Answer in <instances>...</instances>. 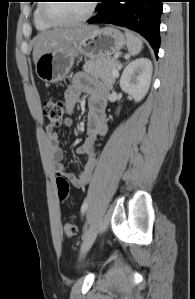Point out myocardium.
I'll use <instances>...</instances> for the list:
<instances>
[{
  "instance_id": "myocardium-1",
  "label": "myocardium",
  "mask_w": 195,
  "mask_h": 299,
  "mask_svg": "<svg viewBox=\"0 0 195 299\" xmlns=\"http://www.w3.org/2000/svg\"><path fill=\"white\" fill-rule=\"evenodd\" d=\"M50 3H42L41 6V16L42 18L49 24H51L52 26H70V25H75V24H79V23H83L88 21L95 13L96 8H97V3L95 2V0H90V5H89V9L87 10L86 14H84L81 17L75 18V19H71V20H57L55 18H53L49 13H48V6Z\"/></svg>"
}]
</instances>
